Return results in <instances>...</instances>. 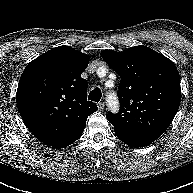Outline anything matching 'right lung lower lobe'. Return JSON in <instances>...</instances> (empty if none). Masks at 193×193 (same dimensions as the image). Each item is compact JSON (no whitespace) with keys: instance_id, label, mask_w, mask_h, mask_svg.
Listing matches in <instances>:
<instances>
[{"instance_id":"obj_1","label":"right lung lower lobe","mask_w":193,"mask_h":193,"mask_svg":"<svg viewBox=\"0 0 193 193\" xmlns=\"http://www.w3.org/2000/svg\"><path fill=\"white\" fill-rule=\"evenodd\" d=\"M83 132L75 135V136H72L68 139H65V140H58V141H55L53 143H51L49 146H52V147H55V148H62V147H66L68 145H70L71 143H73L74 141H76L78 138H80V136L82 135Z\"/></svg>"}]
</instances>
